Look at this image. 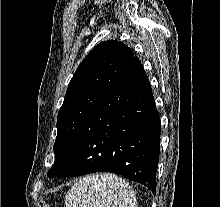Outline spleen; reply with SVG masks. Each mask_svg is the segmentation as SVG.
I'll use <instances>...</instances> for the list:
<instances>
[{
  "instance_id": "obj_1",
  "label": "spleen",
  "mask_w": 220,
  "mask_h": 207,
  "mask_svg": "<svg viewBox=\"0 0 220 207\" xmlns=\"http://www.w3.org/2000/svg\"><path fill=\"white\" fill-rule=\"evenodd\" d=\"M66 207H137L136 195L123 178L109 173L87 175L68 191Z\"/></svg>"
}]
</instances>
